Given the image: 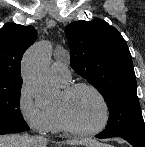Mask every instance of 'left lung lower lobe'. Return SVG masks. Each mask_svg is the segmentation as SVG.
Instances as JSON below:
<instances>
[{"instance_id":"0a47b994","label":"left lung lower lobe","mask_w":145,"mask_h":147,"mask_svg":"<svg viewBox=\"0 0 145 147\" xmlns=\"http://www.w3.org/2000/svg\"><path fill=\"white\" fill-rule=\"evenodd\" d=\"M97 138H110L115 137L111 135L103 134L102 132L96 135ZM128 141L133 147H145V138L135 137V136H119Z\"/></svg>"}]
</instances>
